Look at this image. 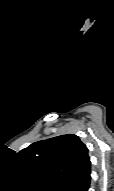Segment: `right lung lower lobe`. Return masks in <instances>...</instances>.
I'll use <instances>...</instances> for the list:
<instances>
[{"mask_svg":"<svg viewBox=\"0 0 114 191\" xmlns=\"http://www.w3.org/2000/svg\"><path fill=\"white\" fill-rule=\"evenodd\" d=\"M90 174L84 177L74 178L62 185H60L57 191H88L90 187Z\"/></svg>","mask_w":114,"mask_h":191,"instance_id":"obj_1","label":"right lung lower lobe"}]
</instances>
